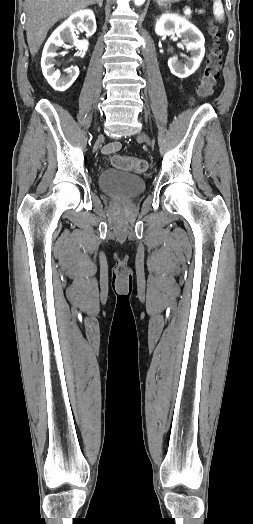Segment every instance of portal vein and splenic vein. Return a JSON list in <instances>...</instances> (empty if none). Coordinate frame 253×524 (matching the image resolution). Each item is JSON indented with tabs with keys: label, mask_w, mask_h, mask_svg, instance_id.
<instances>
[{
	"label": "portal vein and splenic vein",
	"mask_w": 253,
	"mask_h": 524,
	"mask_svg": "<svg viewBox=\"0 0 253 524\" xmlns=\"http://www.w3.org/2000/svg\"><path fill=\"white\" fill-rule=\"evenodd\" d=\"M191 14V9L186 6L185 9H184V15H190Z\"/></svg>",
	"instance_id": "obj_1"
}]
</instances>
